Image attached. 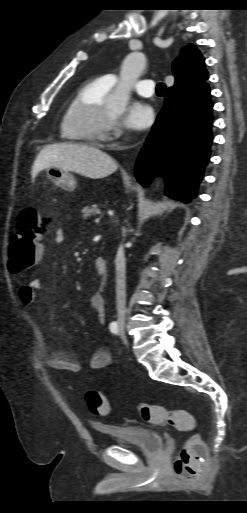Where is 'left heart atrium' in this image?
Instances as JSON below:
<instances>
[{"instance_id":"39dd6f15","label":"left heart atrium","mask_w":247,"mask_h":513,"mask_svg":"<svg viewBox=\"0 0 247 513\" xmlns=\"http://www.w3.org/2000/svg\"><path fill=\"white\" fill-rule=\"evenodd\" d=\"M155 120V113L151 106L144 102H133L129 105L125 122L134 129H145L150 127Z\"/></svg>"}]
</instances>
